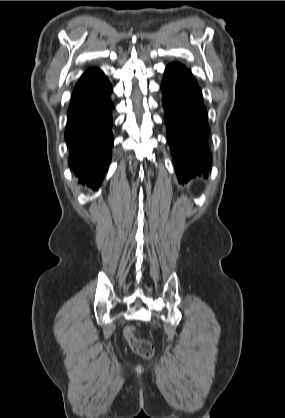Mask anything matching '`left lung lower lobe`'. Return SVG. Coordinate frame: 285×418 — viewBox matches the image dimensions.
<instances>
[{
  "label": "left lung lower lobe",
  "mask_w": 285,
  "mask_h": 418,
  "mask_svg": "<svg viewBox=\"0 0 285 418\" xmlns=\"http://www.w3.org/2000/svg\"><path fill=\"white\" fill-rule=\"evenodd\" d=\"M162 104L176 175L180 183L210 169V128L201 88L181 63L169 64L161 84Z\"/></svg>",
  "instance_id": "left-lung-lower-lobe-1"
}]
</instances>
